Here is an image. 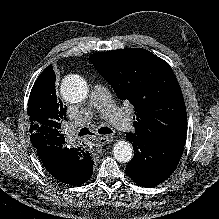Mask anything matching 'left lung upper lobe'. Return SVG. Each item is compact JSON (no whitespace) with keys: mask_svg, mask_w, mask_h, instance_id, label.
Returning a JSON list of instances; mask_svg holds the SVG:
<instances>
[{"mask_svg":"<svg viewBox=\"0 0 219 219\" xmlns=\"http://www.w3.org/2000/svg\"><path fill=\"white\" fill-rule=\"evenodd\" d=\"M90 62L120 100L134 105L135 136L168 145H185V103L174 72L166 61L146 49L125 48L94 53Z\"/></svg>","mask_w":219,"mask_h":219,"instance_id":"left-lung-upper-lobe-1","label":"left lung upper lobe"}]
</instances>
